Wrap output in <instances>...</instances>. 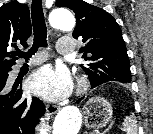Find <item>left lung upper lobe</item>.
<instances>
[{"label": "left lung upper lobe", "instance_id": "5c2ea615", "mask_svg": "<svg viewBox=\"0 0 153 134\" xmlns=\"http://www.w3.org/2000/svg\"><path fill=\"white\" fill-rule=\"evenodd\" d=\"M58 7L74 11L77 25L73 37H82V58L88 61L81 66L89 76L91 86L110 81L131 82L130 63L122 32L112 15L83 0H57Z\"/></svg>", "mask_w": 153, "mask_h": 134}]
</instances>
